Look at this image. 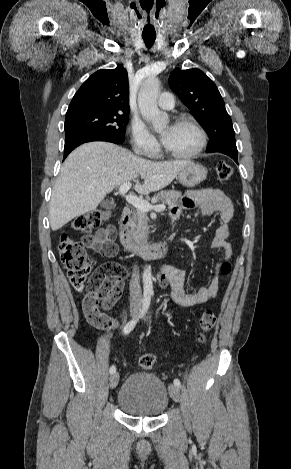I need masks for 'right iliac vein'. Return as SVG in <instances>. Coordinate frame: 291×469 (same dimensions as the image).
Segmentation results:
<instances>
[{"label":"right iliac vein","mask_w":291,"mask_h":469,"mask_svg":"<svg viewBox=\"0 0 291 469\" xmlns=\"http://www.w3.org/2000/svg\"><path fill=\"white\" fill-rule=\"evenodd\" d=\"M139 307L138 306H132L130 308V316L132 318H135L137 316V314L139 313ZM109 382H110V387L113 389L117 386L118 382H119V373L118 372H114L111 376H110V379H109Z\"/></svg>","instance_id":"1"}]
</instances>
